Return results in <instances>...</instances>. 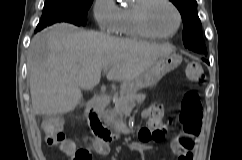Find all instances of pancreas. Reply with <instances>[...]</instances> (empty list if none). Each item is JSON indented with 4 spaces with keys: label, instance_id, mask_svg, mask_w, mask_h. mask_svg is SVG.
Instances as JSON below:
<instances>
[{
    "label": "pancreas",
    "instance_id": "pancreas-1",
    "mask_svg": "<svg viewBox=\"0 0 242 160\" xmlns=\"http://www.w3.org/2000/svg\"><path fill=\"white\" fill-rule=\"evenodd\" d=\"M146 95L137 92H131L125 95H114L115 107L106 109L103 114L104 122L113 128L116 133L125 129L123 114L127 109H132L136 104L142 103Z\"/></svg>",
    "mask_w": 242,
    "mask_h": 160
}]
</instances>
